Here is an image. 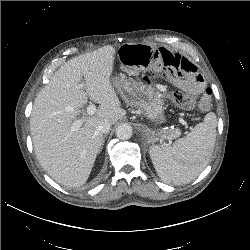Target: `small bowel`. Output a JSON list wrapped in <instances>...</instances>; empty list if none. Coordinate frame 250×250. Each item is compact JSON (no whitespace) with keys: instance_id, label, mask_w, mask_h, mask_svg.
I'll list each match as a JSON object with an SVG mask.
<instances>
[{"instance_id":"small-bowel-1","label":"small bowel","mask_w":250,"mask_h":250,"mask_svg":"<svg viewBox=\"0 0 250 250\" xmlns=\"http://www.w3.org/2000/svg\"><path fill=\"white\" fill-rule=\"evenodd\" d=\"M123 72L130 76L158 75L191 94L201 92L204 79L197 67L175 51L128 44L118 50Z\"/></svg>"}]
</instances>
